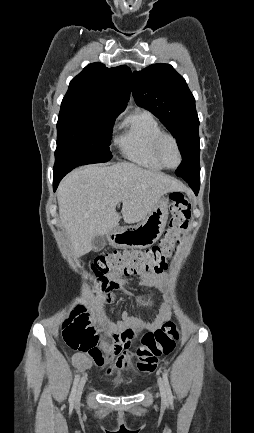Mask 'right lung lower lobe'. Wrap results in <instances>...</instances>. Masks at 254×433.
I'll use <instances>...</instances> for the list:
<instances>
[{
    "label": "right lung lower lobe",
    "mask_w": 254,
    "mask_h": 433,
    "mask_svg": "<svg viewBox=\"0 0 254 433\" xmlns=\"http://www.w3.org/2000/svg\"><path fill=\"white\" fill-rule=\"evenodd\" d=\"M55 165H54V176H53V188L54 191L56 190L59 182L61 179L72 169H74L77 166L84 165L82 162H79L71 157H61V158H55Z\"/></svg>",
    "instance_id": "98d812e1"
}]
</instances>
